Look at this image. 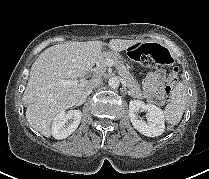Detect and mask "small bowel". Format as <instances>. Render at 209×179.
<instances>
[{
    "mask_svg": "<svg viewBox=\"0 0 209 179\" xmlns=\"http://www.w3.org/2000/svg\"><path fill=\"white\" fill-rule=\"evenodd\" d=\"M165 81L166 72L164 70H155L147 74L144 81V93L148 100L155 104L163 102Z\"/></svg>",
    "mask_w": 209,
    "mask_h": 179,
    "instance_id": "c3829d8e",
    "label": "small bowel"
}]
</instances>
